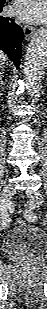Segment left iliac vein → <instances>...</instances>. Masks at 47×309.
<instances>
[{"label":"left iliac vein","instance_id":"1","mask_svg":"<svg viewBox=\"0 0 47 309\" xmlns=\"http://www.w3.org/2000/svg\"><path fill=\"white\" fill-rule=\"evenodd\" d=\"M26 194L30 200V210H34L35 208L39 207L44 201L43 196L39 191L27 190Z\"/></svg>","mask_w":47,"mask_h":309}]
</instances>
